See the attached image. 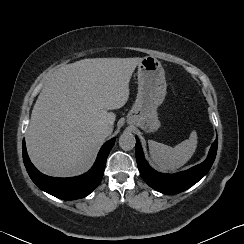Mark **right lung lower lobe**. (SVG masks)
<instances>
[{"label": "right lung lower lobe", "instance_id": "98d812e1", "mask_svg": "<svg viewBox=\"0 0 244 244\" xmlns=\"http://www.w3.org/2000/svg\"><path fill=\"white\" fill-rule=\"evenodd\" d=\"M115 142L107 141L100 149L93 167L85 174L70 178H54L40 173L31 163L23 140V160L32 181L43 191L63 200L80 199L89 195L101 182L106 160Z\"/></svg>", "mask_w": 244, "mask_h": 244}]
</instances>
